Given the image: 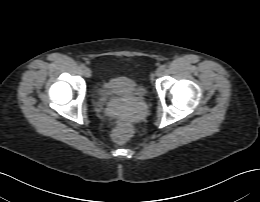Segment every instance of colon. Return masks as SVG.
<instances>
[{
  "label": "colon",
  "instance_id": "5ec220e1",
  "mask_svg": "<svg viewBox=\"0 0 260 202\" xmlns=\"http://www.w3.org/2000/svg\"><path fill=\"white\" fill-rule=\"evenodd\" d=\"M130 135L131 133L128 125L122 120H117L112 133V138L114 142L121 144L125 142L130 137Z\"/></svg>",
  "mask_w": 260,
  "mask_h": 202
}]
</instances>
